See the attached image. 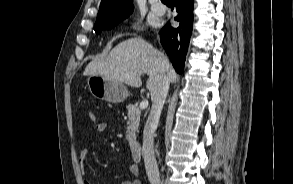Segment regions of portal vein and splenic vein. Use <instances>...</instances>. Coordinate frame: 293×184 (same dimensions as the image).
<instances>
[{"instance_id": "1", "label": "portal vein and splenic vein", "mask_w": 293, "mask_h": 184, "mask_svg": "<svg viewBox=\"0 0 293 184\" xmlns=\"http://www.w3.org/2000/svg\"><path fill=\"white\" fill-rule=\"evenodd\" d=\"M148 107V100H143L140 103V109H146Z\"/></svg>"}]
</instances>
